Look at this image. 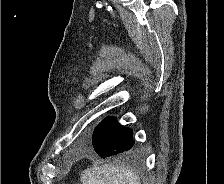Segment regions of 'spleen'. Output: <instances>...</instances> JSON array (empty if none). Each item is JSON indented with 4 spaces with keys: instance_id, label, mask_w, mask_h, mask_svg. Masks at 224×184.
Returning a JSON list of instances; mask_svg holds the SVG:
<instances>
[{
    "instance_id": "3e777b00",
    "label": "spleen",
    "mask_w": 224,
    "mask_h": 184,
    "mask_svg": "<svg viewBox=\"0 0 224 184\" xmlns=\"http://www.w3.org/2000/svg\"><path fill=\"white\" fill-rule=\"evenodd\" d=\"M80 180L83 184H141L134 171L112 164L87 169L81 174Z\"/></svg>"
}]
</instances>
